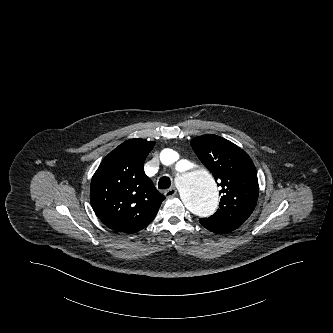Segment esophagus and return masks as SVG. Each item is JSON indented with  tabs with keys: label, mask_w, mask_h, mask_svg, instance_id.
I'll use <instances>...</instances> for the list:
<instances>
[{
	"label": "esophagus",
	"mask_w": 333,
	"mask_h": 333,
	"mask_svg": "<svg viewBox=\"0 0 333 333\" xmlns=\"http://www.w3.org/2000/svg\"><path fill=\"white\" fill-rule=\"evenodd\" d=\"M164 195H165L166 198L175 197L177 195V190H176L175 187H172V188L166 190Z\"/></svg>",
	"instance_id": "1"
}]
</instances>
